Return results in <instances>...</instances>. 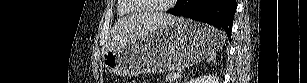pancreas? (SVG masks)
Masks as SVG:
<instances>
[{"label":"pancreas","mask_w":307,"mask_h":83,"mask_svg":"<svg viewBox=\"0 0 307 83\" xmlns=\"http://www.w3.org/2000/svg\"><path fill=\"white\" fill-rule=\"evenodd\" d=\"M165 79L167 83H175L176 80L175 73L174 72L167 73Z\"/></svg>","instance_id":"1"}]
</instances>
